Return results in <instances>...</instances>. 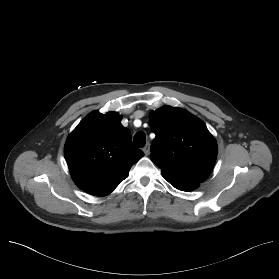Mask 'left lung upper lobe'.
Listing matches in <instances>:
<instances>
[{
	"instance_id": "left-lung-upper-lobe-1",
	"label": "left lung upper lobe",
	"mask_w": 279,
	"mask_h": 279,
	"mask_svg": "<svg viewBox=\"0 0 279 279\" xmlns=\"http://www.w3.org/2000/svg\"><path fill=\"white\" fill-rule=\"evenodd\" d=\"M152 132L151 160L167 174L204 182L213 169L217 143L205 124L181 108L163 106L149 115Z\"/></svg>"
}]
</instances>
